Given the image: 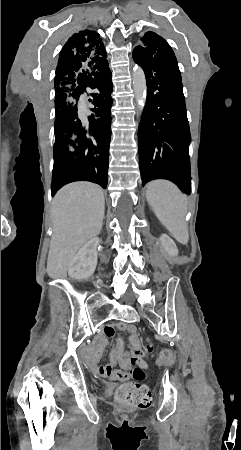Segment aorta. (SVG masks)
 Here are the masks:
<instances>
[{"label":"aorta","mask_w":241,"mask_h":450,"mask_svg":"<svg viewBox=\"0 0 241 450\" xmlns=\"http://www.w3.org/2000/svg\"><path fill=\"white\" fill-rule=\"evenodd\" d=\"M132 84L135 94V100L137 105L138 113L141 115L143 113L146 97H147V83L145 78V73L143 69L139 66L133 68L132 73Z\"/></svg>","instance_id":"obj_1"}]
</instances>
